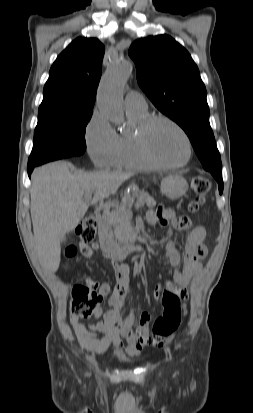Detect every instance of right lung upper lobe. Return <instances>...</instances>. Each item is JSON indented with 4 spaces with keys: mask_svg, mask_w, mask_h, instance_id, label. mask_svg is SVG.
<instances>
[{
    "mask_svg": "<svg viewBox=\"0 0 253 413\" xmlns=\"http://www.w3.org/2000/svg\"><path fill=\"white\" fill-rule=\"evenodd\" d=\"M104 52L96 38L79 37L71 42L50 69L39 114L92 111Z\"/></svg>",
    "mask_w": 253,
    "mask_h": 413,
    "instance_id": "right-lung-upper-lobe-1",
    "label": "right lung upper lobe"
}]
</instances>
